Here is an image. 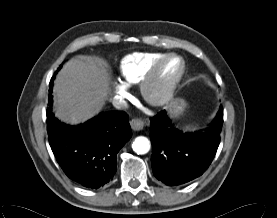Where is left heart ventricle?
Here are the masks:
<instances>
[{
    "label": "left heart ventricle",
    "mask_w": 277,
    "mask_h": 218,
    "mask_svg": "<svg viewBox=\"0 0 277 218\" xmlns=\"http://www.w3.org/2000/svg\"><path fill=\"white\" fill-rule=\"evenodd\" d=\"M179 63L175 59L166 61L161 67L157 79V87H162L167 84L177 73Z\"/></svg>",
    "instance_id": "b2bd125f"
}]
</instances>
